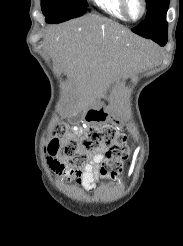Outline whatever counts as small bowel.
Listing matches in <instances>:
<instances>
[{
	"label": "small bowel",
	"instance_id": "obj_1",
	"mask_svg": "<svg viewBox=\"0 0 183 246\" xmlns=\"http://www.w3.org/2000/svg\"><path fill=\"white\" fill-rule=\"evenodd\" d=\"M104 158L103 150L98 151L89 164L82 170H73L60 161L50 160V167L58 175L66 178L74 177L75 183L87 191H92L99 175V165Z\"/></svg>",
	"mask_w": 183,
	"mask_h": 246
}]
</instances>
